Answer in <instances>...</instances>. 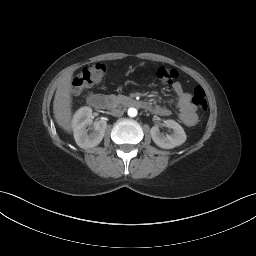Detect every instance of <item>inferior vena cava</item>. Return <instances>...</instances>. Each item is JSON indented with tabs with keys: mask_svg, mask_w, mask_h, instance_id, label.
Instances as JSON below:
<instances>
[{
	"mask_svg": "<svg viewBox=\"0 0 256 256\" xmlns=\"http://www.w3.org/2000/svg\"><path fill=\"white\" fill-rule=\"evenodd\" d=\"M124 114V111L122 109H112L111 115L115 117H120Z\"/></svg>",
	"mask_w": 256,
	"mask_h": 256,
	"instance_id": "1",
	"label": "inferior vena cava"
}]
</instances>
